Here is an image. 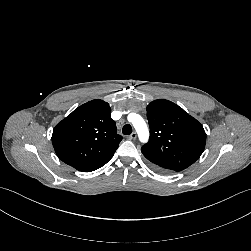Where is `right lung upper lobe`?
<instances>
[{
  "instance_id": "1",
  "label": "right lung upper lobe",
  "mask_w": 251,
  "mask_h": 251,
  "mask_svg": "<svg viewBox=\"0 0 251 251\" xmlns=\"http://www.w3.org/2000/svg\"><path fill=\"white\" fill-rule=\"evenodd\" d=\"M121 140L109 104L100 99L76 108L56 125L52 134L57 156L82 172L105 165Z\"/></svg>"
}]
</instances>
